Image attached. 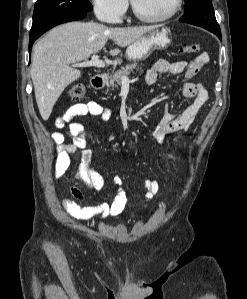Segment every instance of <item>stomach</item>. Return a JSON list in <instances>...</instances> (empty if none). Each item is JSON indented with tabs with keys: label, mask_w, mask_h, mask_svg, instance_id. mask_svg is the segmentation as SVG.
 <instances>
[{
	"label": "stomach",
	"mask_w": 247,
	"mask_h": 299,
	"mask_svg": "<svg viewBox=\"0 0 247 299\" xmlns=\"http://www.w3.org/2000/svg\"><path fill=\"white\" fill-rule=\"evenodd\" d=\"M171 41L170 29L164 25H159L132 43L126 50V58L130 61L145 60L153 51L169 47Z\"/></svg>",
	"instance_id": "1"
}]
</instances>
